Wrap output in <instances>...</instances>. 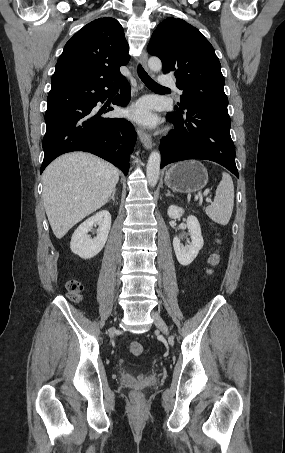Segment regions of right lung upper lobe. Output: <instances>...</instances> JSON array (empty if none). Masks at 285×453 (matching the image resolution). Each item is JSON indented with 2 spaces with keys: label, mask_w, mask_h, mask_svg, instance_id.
<instances>
[{
  "label": "right lung upper lobe",
  "mask_w": 285,
  "mask_h": 453,
  "mask_svg": "<svg viewBox=\"0 0 285 453\" xmlns=\"http://www.w3.org/2000/svg\"><path fill=\"white\" fill-rule=\"evenodd\" d=\"M129 59L128 44L120 23L111 17L95 19L66 43L51 84L114 82L123 78L120 66L126 65Z\"/></svg>",
  "instance_id": "1"
}]
</instances>
